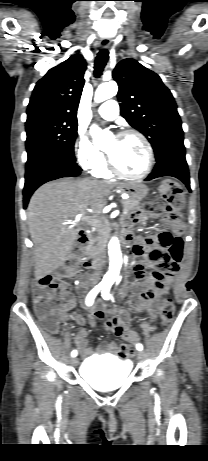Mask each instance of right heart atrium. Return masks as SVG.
Returning <instances> with one entry per match:
<instances>
[{
  "label": "right heart atrium",
  "mask_w": 208,
  "mask_h": 461,
  "mask_svg": "<svg viewBox=\"0 0 208 461\" xmlns=\"http://www.w3.org/2000/svg\"><path fill=\"white\" fill-rule=\"evenodd\" d=\"M74 153L78 165L86 171L93 170L103 158L102 153L94 147L83 133L78 134L76 138Z\"/></svg>",
  "instance_id": "d8ad5b80"
}]
</instances>
